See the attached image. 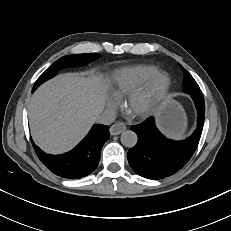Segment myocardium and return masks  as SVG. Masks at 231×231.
I'll use <instances>...</instances> for the list:
<instances>
[{
    "instance_id": "myocardium-1",
    "label": "myocardium",
    "mask_w": 231,
    "mask_h": 231,
    "mask_svg": "<svg viewBox=\"0 0 231 231\" xmlns=\"http://www.w3.org/2000/svg\"><path fill=\"white\" fill-rule=\"evenodd\" d=\"M170 87V76L165 72L157 73L127 95L125 107L134 117H149L164 101ZM139 98H145V102L141 106H136Z\"/></svg>"
}]
</instances>
